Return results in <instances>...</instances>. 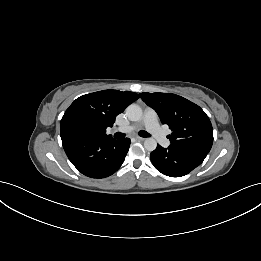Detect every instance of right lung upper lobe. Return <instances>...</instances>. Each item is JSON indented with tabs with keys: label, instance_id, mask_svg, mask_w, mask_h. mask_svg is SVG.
I'll return each instance as SVG.
<instances>
[{
	"label": "right lung upper lobe",
	"instance_id": "right-lung-upper-lobe-1",
	"mask_svg": "<svg viewBox=\"0 0 261 261\" xmlns=\"http://www.w3.org/2000/svg\"><path fill=\"white\" fill-rule=\"evenodd\" d=\"M138 98L139 95L134 92L118 90H103L80 96L65 111L60 130L72 120L83 119L92 125L95 138L109 137L106 128L112 127L116 116Z\"/></svg>",
	"mask_w": 261,
	"mask_h": 261
}]
</instances>
